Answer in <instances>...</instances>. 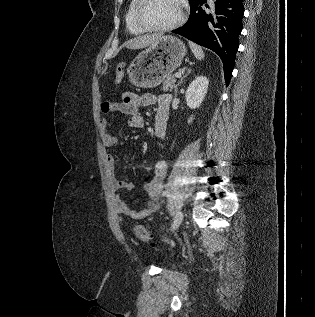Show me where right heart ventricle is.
Segmentation results:
<instances>
[{"label": "right heart ventricle", "instance_id": "e07e8e85", "mask_svg": "<svg viewBox=\"0 0 315 317\" xmlns=\"http://www.w3.org/2000/svg\"><path fill=\"white\" fill-rule=\"evenodd\" d=\"M137 0H131L128 9L125 14V23L128 31L133 35H140L144 31L136 26L133 18L134 8L136 6Z\"/></svg>", "mask_w": 315, "mask_h": 317}]
</instances>
